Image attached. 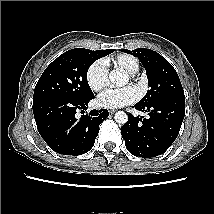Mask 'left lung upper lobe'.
<instances>
[{
	"mask_svg": "<svg viewBox=\"0 0 214 214\" xmlns=\"http://www.w3.org/2000/svg\"><path fill=\"white\" fill-rule=\"evenodd\" d=\"M122 51L137 57L146 69L149 90L137 104L146 105L169 98L185 99L177 72L163 56L145 48Z\"/></svg>",
	"mask_w": 214,
	"mask_h": 214,
	"instance_id": "1",
	"label": "left lung upper lobe"
}]
</instances>
